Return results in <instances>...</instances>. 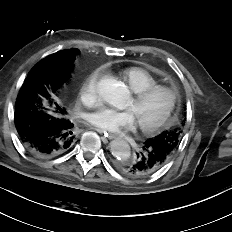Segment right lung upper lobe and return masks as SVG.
Instances as JSON below:
<instances>
[{"label":"right lung upper lobe","instance_id":"1","mask_svg":"<svg viewBox=\"0 0 232 232\" xmlns=\"http://www.w3.org/2000/svg\"><path fill=\"white\" fill-rule=\"evenodd\" d=\"M73 50L75 51V49H68V50L59 51L56 53V56L61 55L62 53H65V52L73 51Z\"/></svg>","mask_w":232,"mask_h":232}]
</instances>
